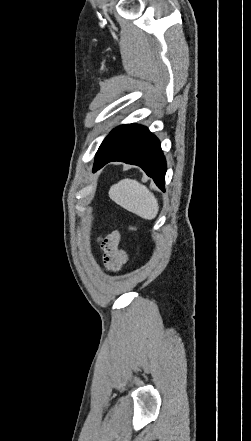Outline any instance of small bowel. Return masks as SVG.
Instances as JSON below:
<instances>
[{"label": "small bowel", "mask_w": 251, "mask_h": 441, "mask_svg": "<svg viewBox=\"0 0 251 441\" xmlns=\"http://www.w3.org/2000/svg\"><path fill=\"white\" fill-rule=\"evenodd\" d=\"M120 235L113 232L102 240L104 262L110 271H118L127 261L126 253L119 247Z\"/></svg>", "instance_id": "1"}]
</instances>
